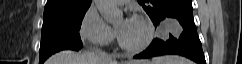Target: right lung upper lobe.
<instances>
[{
	"label": "right lung upper lobe",
	"instance_id": "1",
	"mask_svg": "<svg viewBox=\"0 0 242 64\" xmlns=\"http://www.w3.org/2000/svg\"><path fill=\"white\" fill-rule=\"evenodd\" d=\"M92 0H48L44 15L87 11Z\"/></svg>",
	"mask_w": 242,
	"mask_h": 64
}]
</instances>
